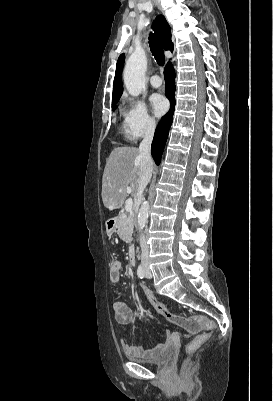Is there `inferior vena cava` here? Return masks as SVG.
Instances as JSON below:
<instances>
[{"mask_svg":"<svg viewBox=\"0 0 273 401\" xmlns=\"http://www.w3.org/2000/svg\"><path fill=\"white\" fill-rule=\"evenodd\" d=\"M155 126H150L146 128L144 138L140 142L139 146V156H140V178L138 182V188L136 192L137 201H142V194L144 188H146L150 178L152 176L153 162L151 158V142L154 136ZM140 247H141V259H148L149 257V247L146 243L144 235H140Z\"/></svg>","mask_w":273,"mask_h":401,"instance_id":"602c4592","label":"inferior vena cava"}]
</instances>
